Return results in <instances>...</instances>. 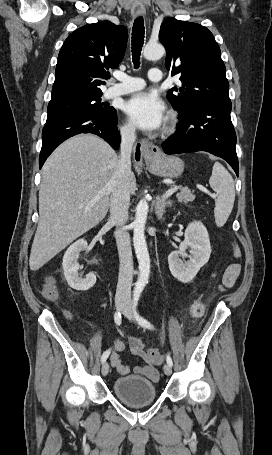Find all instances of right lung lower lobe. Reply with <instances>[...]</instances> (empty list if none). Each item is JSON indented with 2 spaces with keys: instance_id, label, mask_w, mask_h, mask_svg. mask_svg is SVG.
I'll return each instance as SVG.
<instances>
[{
  "instance_id": "98d812e1",
  "label": "right lung lower lobe",
  "mask_w": 272,
  "mask_h": 455,
  "mask_svg": "<svg viewBox=\"0 0 272 455\" xmlns=\"http://www.w3.org/2000/svg\"><path fill=\"white\" fill-rule=\"evenodd\" d=\"M116 111L109 116L93 113H68L47 118L42 131V148L39 156L41 168L53 150L66 139L80 134L92 133L107 141L114 149L119 147L120 134L116 127Z\"/></svg>"
}]
</instances>
